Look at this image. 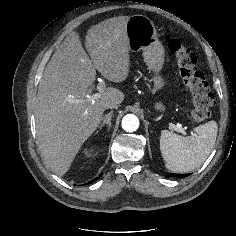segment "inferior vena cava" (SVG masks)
I'll list each match as a JSON object with an SVG mask.
<instances>
[{
    "label": "inferior vena cava",
    "mask_w": 236,
    "mask_h": 236,
    "mask_svg": "<svg viewBox=\"0 0 236 236\" xmlns=\"http://www.w3.org/2000/svg\"><path fill=\"white\" fill-rule=\"evenodd\" d=\"M106 108H110V109L118 108V104L113 103V102L112 103H107Z\"/></svg>",
    "instance_id": "inferior-vena-cava-1"
}]
</instances>
